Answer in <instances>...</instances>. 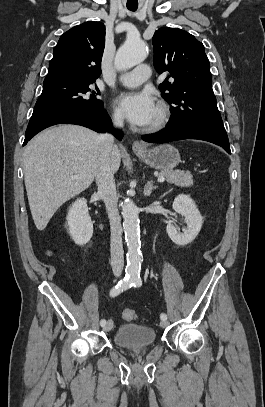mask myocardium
Listing matches in <instances>:
<instances>
[{"label": "myocardium", "mask_w": 265, "mask_h": 407, "mask_svg": "<svg viewBox=\"0 0 265 407\" xmlns=\"http://www.w3.org/2000/svg\"><path fill=\"white\" fill-rule=\"evenodd\" d=\"M158 109V117L157 119L151 124L143 128L144 132L152 133L161 130L165 127L170 119V109L169 106L163 102L158 101L157 103Z\"/></svg>", "instance_id": "obj_1"}]
</instances>
